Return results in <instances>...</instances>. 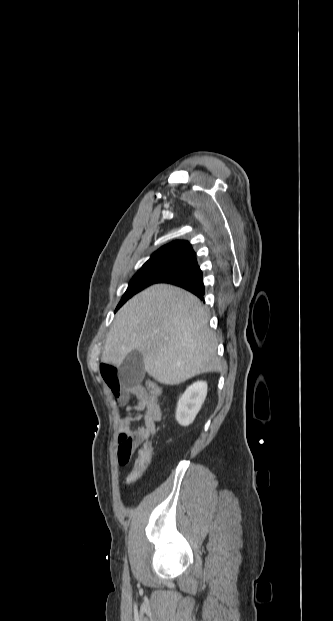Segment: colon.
<instances>
[{
	"mask_svg": "<svg viewBox=\"0 0 333 621\" xmlns=\"http://www.w3.org/2000/svg\"><path fill=\"white\" fill-rule=\"evenodd\" d=\"M148 384L152 394L159 398L162 394L161 386L153 380L148 381ZM142 443L143 444L138 449L134 466L126 478V483L128 485L137 482L150 465L153 454L152 445L147 440H144Z\"/></svg>",
	"mask_w": 333,
	"mask_h": 621,
	"instance_id": "colon-1",
	"label": "colon"
}]
</instances>
